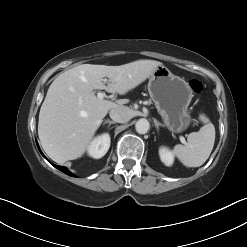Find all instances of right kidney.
Here are the masks:
<instances>
[{"mask_svg":"<svg viewBox=\"0 0 247 247\" xmlns=\"http://www.w3.org/2000/svg\"><path fill=\"white\" fill-rule=\"evenodd\" d=\"M110 147V136L108 133L97 136L88 147L89 156L99 159L103 157Z\"/></svg>","mask_w":247,"mask_h":247,"instance_id":"obj_1","label":"right kidney"}]
</instances>
